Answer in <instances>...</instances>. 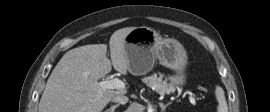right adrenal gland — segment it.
<instances>
[{
	"label": "right adrenal gland",
	"instance_id": "right-adrenal-gland-1",
	"mask_svg": "<svg viewBox=\"0 0 270 112\" xmlns=\"http://www.w3.org/2000/svg\"><path fill=\"white\" fill-rule=\"evenodd\" d=\"M120 104H116L111 106L109 109L105 110L104 112H114L117 107H119Z\"/></svg>",
	"mask_w": 270,
	"mask_h": 112
}]
</instances>
